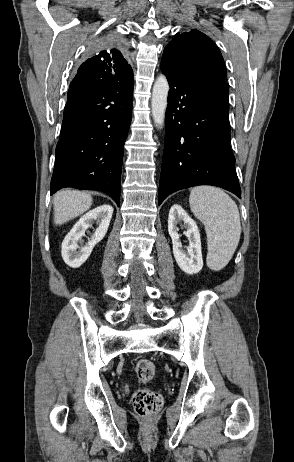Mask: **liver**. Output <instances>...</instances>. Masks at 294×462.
<instances>
[{
  "label": "liver",
  "instance_id": "6515ba94",
  "mask_svg": "<svg viewBox=\"0 0 294 462\" xmlns=\"http://www.w3.org/2000/svg\"><path fill=\"white\" fill-rule=\"evenodd\" d=\"M92 205V197L86 192L66 190L58 192L53 199L54 223L56 225L76 218Z\"/></svg>",
  "mask_w": 294,
  "mask_h": 462
}]
</instances>
